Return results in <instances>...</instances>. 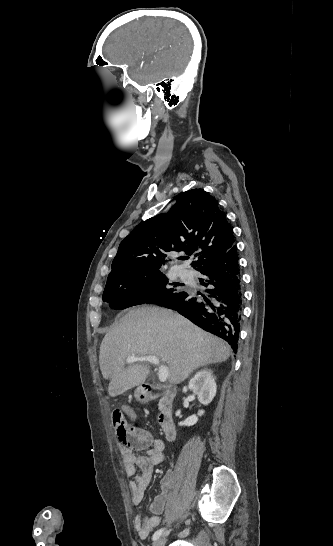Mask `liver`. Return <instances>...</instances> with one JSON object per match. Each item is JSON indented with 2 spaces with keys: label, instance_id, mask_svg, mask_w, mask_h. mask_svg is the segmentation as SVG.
<instances>
[{
  "label": "liver",
  "instance_id": "liver-1",
  "mask_svg": "<svg viewBox=\"0 0 333 546\" xmlns=\"http://www.w3.org/2000/svg\"><path fill=\"white\" fill-rule=\"evenodd\" d=\"M132 355L157 356L168 364V381L179 384L201 366L226 361L230 348L177 313L142 307L130 310L102 340L99 363L103 378L110 380L109 396L123 394L147 379L150 368L145 363L124 368Z\"/></svg>",
  "mask_w": 333,
  "mask_h": 546
}]
</instances>
